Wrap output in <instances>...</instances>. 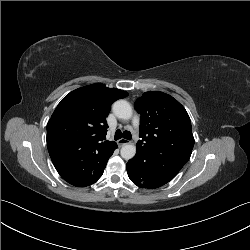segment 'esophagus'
Returning a JSON list of instances; mask_svg holds the SVG:
<instances>
[{
	"label": "esophagus",
	"mask_w": 250,
	"mask_h": 250,
	"mask_svg": "<svg viewBox=\"0 0 250 250\" xmlns=\"http://www.w3.org/2000/svg\"><path fill=\"white\" fill-rule=\"evenodd\" d=\"M118 145L121 147V146H124L126 144H129L130 142L127 140V139H124V138H121L117 141Z\"/></svg>",
	"instance_id": "obj_1"
}]
</instances>
